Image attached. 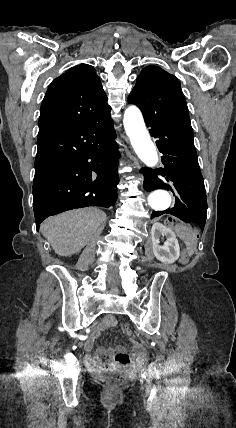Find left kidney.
Returning <instances> with one entry per match:
<instances>
[{"label":"left kidney","mask_w":236,"mask_h":428,"mask_svg":"<svg viewBox=\"0 0 236 428\" xmlns=\"http://www.w3.org/2000/svg\"><path fill=\"white\" fill-rule=\"evenodd\" d=\"M151 236L155 258L160 262H164V264H174L180 256V248L173 230L166 228L163 224H154ZM161 236L167 238L164 246H160L159 238Z\"/></svg>","instance_id":"1"}]
</instances>
